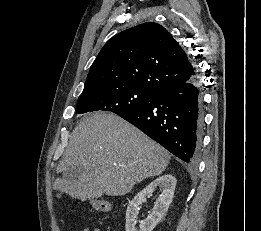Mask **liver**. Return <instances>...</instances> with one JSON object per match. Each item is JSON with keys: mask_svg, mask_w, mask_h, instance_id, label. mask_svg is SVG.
Wrapping results in <instances>:
<instances>
[{"mask_svg": "<svg viewBox=\"0 0 261 231\" xmlns=\"http://www.w3.org/2000/svg\"><path fill=\"white\" fill-rule=\"evenodd\" d=\"M169 161L162 146L121 117L95 112L74 128L57 167L63 177L53 187L81 201L121 196L137 182L160 175ZM78 167L84 172L69 179V172Z\"/></svg>", "mask_w": 261, "mask_h": 231, "instance_id": "obj_1", "label": "liver"}]
</instances>
